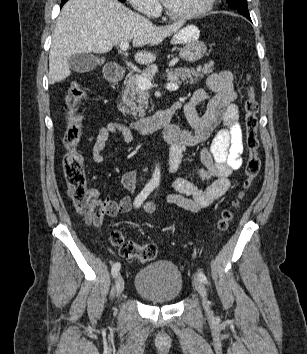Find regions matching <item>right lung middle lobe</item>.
<instances>
[{
	"mask_svg": "<svg viewBox=\"0 0 307 354\" xmlns=\"http://www.w3.org/2000/svg\"><path fill=\"white\" fill-rule=\"evenodd\" d=\"M119 1L124 2L125 0H119Z\"/></svg>",
	"mask_w": 307,
	"mask_h": 354,
	"instance_id": "dd1d6c3e",
	"label": "right lung middle lobe"
}]
</instances>
